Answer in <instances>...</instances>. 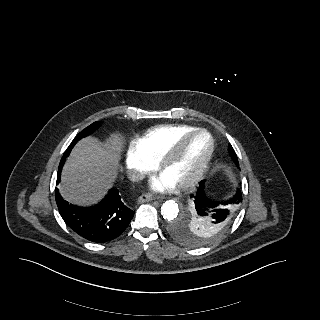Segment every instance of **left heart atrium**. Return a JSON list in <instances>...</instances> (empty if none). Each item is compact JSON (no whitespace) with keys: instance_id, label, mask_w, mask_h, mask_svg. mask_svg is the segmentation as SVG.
Wrapping results in <instances>:
<instances>
[{"instance_id":"left-heart-atrium-1","label":"left heart atrium","mask_w":320,"mask_h":320,"mask_svg":"<svg viewBox=\"0 0 320 320\" xmlns=\"http://www.w3.org/2000/svg\"><path fill=\"white\" fill-rule=\"evenodd\" d=\"M175 183L165 176L155 177L151 182V188L156 191H165L175 187Z\"/></svg>"}]
</instances>
